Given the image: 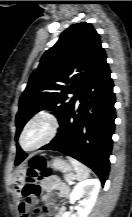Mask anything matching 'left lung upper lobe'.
<instances>
[{
    "label": "left lung upper lobe",
    "instance_id": "5c2ea615",
    "mask_svg": "<svg viewBox=\"0 0 132 217\" xmlns=\"http://www.w3.org/2000/svg\"><path fill=\"white\" fill-rule=\"evenodd\" d=\"M105 61L100 36L91 24L81 22L67 28L57 43L44 53L21 95L16 139L25 123L41 110L53 111L60 121Z\"/></svg>",
    "mask_w": 132,
    "mask_h": 217
}]
</instances>
